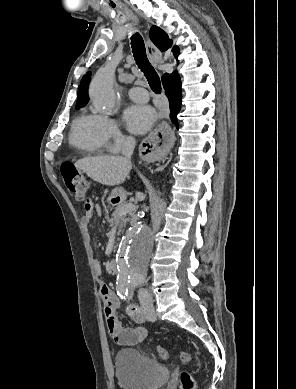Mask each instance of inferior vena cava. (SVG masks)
I'll return each instance as SVG.
<instances>
[{
    "label": "inferior vena cava",
    "mask_w": 296,
    "mask_h": 389,
    "mask_svg": "<svg viewBox=\"0 0 296 389\" xmlns=\"http://www.w3.org/2000/svg\"><path fill=\"white\" fill-rule=\"evenodd\" d=\"M135 144H136L135 139L133 137H128L126 139L124 146H123V150H122L123 155L129 160L133 154ZM138 298H139L140 302H143V301L150 299V296L146 290L140 289L138 292Z\"/></svg>",
    "instance_id": "1"
}]
</instances>
